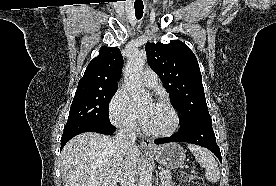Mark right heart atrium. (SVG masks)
Returning a JSON list of instances; mask_svg holds the SVG:
<instances>
[{"instance_id": "right-heart-atrium-1", "label": "right heart atrium", "mask_w": 276, "mask_h": 186, "mask_svg": "<svg viewBox=\"0 0 276 186\" xmlns=\"http://www.w3.org/2000/svg\"><path fill=\"white\" fill-rule=\"evenodd\" d=\"M109 118L118 128L134 133L139 124L131 100L124 88H118L109 103Z\"/></svg>"}]
</instances>
